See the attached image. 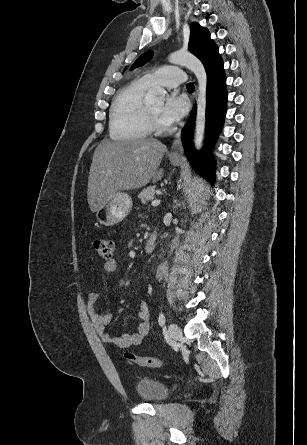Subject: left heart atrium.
I'll return each instance as SVG.
<instances>
[{
  "label": "left heart atrium",
  "mask_w": 307,
  "mask_h": 445,
  "mask_svg": "<svg viewBox=\"0 0 307 445\" xmlns=\"http://www.w3.org/2000/svg\"><path fill=\"white\" fill-rule=\"evenodd\" d=\"M187 101L179 93L170 91L165 97L161 110V120L172 124L180 120L187 112Z\"/></svg>",
  "instance_id": "1"
}]
</instances>
